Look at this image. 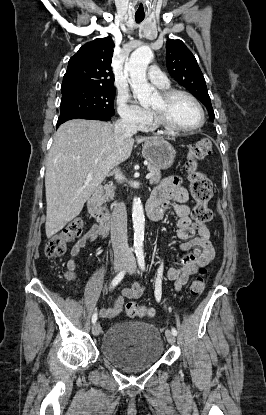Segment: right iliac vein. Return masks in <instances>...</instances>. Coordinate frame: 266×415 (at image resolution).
Here are the masks:
<instances>
[{
  "mask_svg": "<svg viewBox=\"0 0 266 415\" xmlns=\"http://www.w3.org/2000/svg\"><path fill=\"white\" fill-rule=\"evenodd\" d=\"M127 261L123 258H117L114 261V269L116 272L121 271L126 265ZM92 333L98 336L101 333V326L98 322H95L92 326Z\"/></svg>",
  "mask_w": 266,
  "mask_h": 415,
  "instance_id": "63e3f726",
  "label": "right iliac vein"
}]
</instances>
